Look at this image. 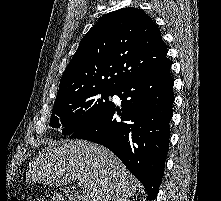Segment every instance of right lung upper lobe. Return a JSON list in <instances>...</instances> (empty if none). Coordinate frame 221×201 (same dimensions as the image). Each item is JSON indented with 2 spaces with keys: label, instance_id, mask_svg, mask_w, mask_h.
<instances>
[{
  "label": "right lung upper lobe",
  "instance_id": "1",
  "mask_svg": "<svg viewBox=\"0 0 221 201\" xmlns=\"http://www.w3.org/2000/svg\"><path fill=\"white\" fill-rule=\"evenodd\" d=\"M166 51L157 25L143 10L108 13L81 40L56 99L93 88L115 90L163 64Z\"/></svg>",
  "mask_w": 221,
  "mask_h": 201
}]
</instances>
